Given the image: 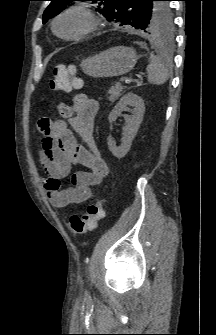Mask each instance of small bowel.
Masks as SVG:
<instances>
[{"label":"small bowel","instance_id":"c3829d8e","mask_svg":"<svg viewBox=\"0 0 216 335\" xmlns=\"http://www.w3.org/2000/svg\"><path fill=\"white\" fill-rule=\"evenodd\" d=\"M55 115L63 119L51 121L42 118L37 123L43 136L39 157L46 177L43 185L54 207L86 202L92 188L102 183L108 174V166L102 158L94 137V120L98 102L86 94H77L72 104H63L60 98L53 100ZM75 132L82 141L77 142ZM73 166L86 168L71 175V186L63 188L61 181L69 176Z\"/></svg>","mask_w":216,"mask_h":335}]
</instances>
